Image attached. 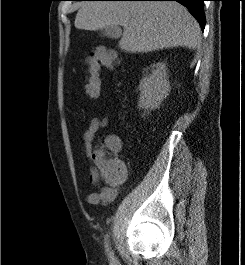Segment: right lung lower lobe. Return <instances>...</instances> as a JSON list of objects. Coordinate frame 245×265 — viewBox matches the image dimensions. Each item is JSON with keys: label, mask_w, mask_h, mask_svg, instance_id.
Here are the masks:
<instances>
[{"label": "right lung lower lobe", "mask_w": 245, "mask_h": 265, "mask_svg": "<svg viewBox=\"0 0 245 265\" xmlns=\"http://www.w3.org/2000/svg\"><path fill=\"white\" fill-rule=\"evenodd\" d=\"M125 1H177L187 7L194 18L199 22L202 30L205 27L204 1L205 0H125Z\"/></svg>", "instance_id": "obj_1"}]
</instances>
